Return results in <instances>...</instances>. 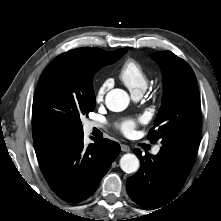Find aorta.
<instances>
[{
    "instance_id": "aorta-1",
    "label": "aorta",
    "mask_w": 221,
    "mask_h": 221,
    "mask_svg": "<svg viewBox=\"0 0 221 221\" xmlns=\"http://www.w3.org/2000/svg\"><path fill=\"white\" fill-rule=\"evenodd\" d=\"M130 98L127 92L122 89H113L106 95L105 103L109 110L120 112L127 108ZM139 159L136 155L124 154L120 159V167L126 173H134L139 169Z\"/></svg>"
}]
</instances>
